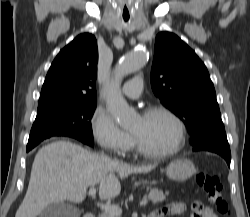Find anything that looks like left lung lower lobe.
<instances>
[{
  "label": "left lung lower lobe",
  "instance_id": "0a47b994",
  "mask_svg": "<svg viewBox=\"0 0 250 217\" xmlns=\"http://www.w3.org/2000/svg\"><path fill=\"white\" fill-rule=\"evenodd\" d=\"M193 145V151H210L221 155L230 166L231 152L224 126H218L204 133Z\"/></svg>",
  "mask_w": 250,
  "mask_h": 217
}]
</instances>
